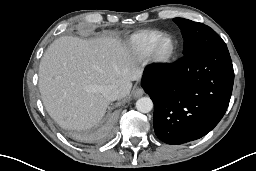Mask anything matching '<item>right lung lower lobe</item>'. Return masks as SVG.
<instances>
[{
	"mask_svg": "<svg viewBox=\"0 0 256 171\" xmlns=\"http://www.w3.org/2000/svg\"><path fill=\"white\" fill-rule=\"evenodd\" d=\"M119 112L117 110H113L109 112L106 117L100 122V125L94 128L93 130L84 132L80 134V138L87 141H106L109 139L118 118Z\"/></svg>",
	"mask_w": 256,
	"mask_h": 171,
	"instance_id": "98d812e1",
	"label": "right lung lower lobe"
}]
</instances>
